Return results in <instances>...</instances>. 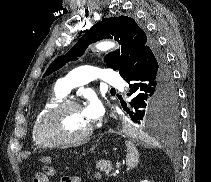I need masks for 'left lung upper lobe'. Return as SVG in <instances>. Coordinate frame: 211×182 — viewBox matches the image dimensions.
Here are the masks:
<instances>
[{"mask_svg":"<svg viewBox=\"0 0 211 182\" xmlns=\"http://www.w3.org/2000/svg\"><path fill=\"white\" fill-rule=\"evenodd\" d=\"M106 38H114L121 44V51L109 53L105 56V60L107 67L118 70L122 78L134 68L143 50L150 43L146 33L132 18L127 16L104 18L93 25L67 55L58 57L44 76L58 70L69 60H76L89 44ZM175 123L176 121L169 122L167 125L171 126Z\"/></svg>","mask_w":211,"mask_h":182,"instance_id":"5c2ea615","label":"left lung upper lobe"}]
</instances>
